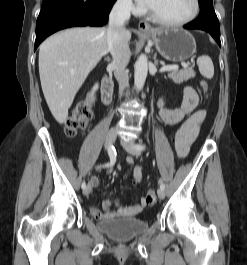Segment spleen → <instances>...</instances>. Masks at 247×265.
Instances as JSON below:
<instances>
[{
  "label": "spleen",
  "mask_w": 247,
  "mask_h": 265,
  "mask_svg": "<svg viewBox=\"0 0 247 265\" xmlns=\"http://www.w3.org/2000/svg\"><path fill=\"white\" fill-rule=\"evenodd\" d=\"M197 65L201 75L207 79L214 76V65L211 58L207 55H202L197 59Z\"/></svg>",
  "instance_id": "1"
}]
</instances>
